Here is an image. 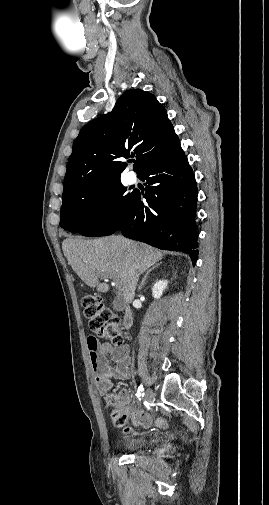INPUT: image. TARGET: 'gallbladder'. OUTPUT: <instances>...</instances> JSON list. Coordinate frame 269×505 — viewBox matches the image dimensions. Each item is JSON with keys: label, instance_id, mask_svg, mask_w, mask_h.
Here are the masks:
<instances>
[{"label": "gallbladder", "instance_id": "1", "mask_svg": "<svg viewBox=\"0 0 269 505\" xmlns=\"http://www.w3.org/2000/svg\"><path fill=\"white\" fill-rule=\"evenodd\" d=\"M113 309L116 311H122L125 308V301L123 297H117L113 301Z\"/></svg>", "mask_w": 269, "mask_h": 505}]
</instances>
